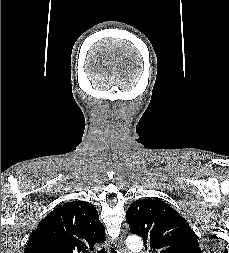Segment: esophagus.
Here are the masks:
<instances>
[{"instance_id":"esophagus-1","label":"esophagus","mask_w":229,"mask_h":253,"mask_svg":"<svg viewBox=\"0 0 229 253\" xmlns=\"http://www.w3.org/2000/svg\"><path fill=\"white\" fill-rule=\"evenodd\" d=\"M115 247H116L117 253H128V252H127V249H126L125 246H124V243H123L122 238L119 239V240L116 242Z\"/></svg>"}]
</instances>
